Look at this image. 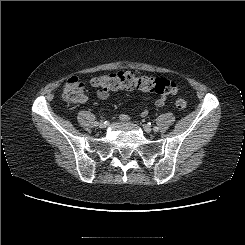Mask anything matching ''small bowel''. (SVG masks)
I'll return each instance as SVG.
<instances>
[{
    "label": "small bowel",
    "instance_id": "obj_1",
    "mask_svg": "<svg viewBox=\"0 0 245 245\" xmlns=\"http://www.w3.org/2000/svg\"><path fill=\"white\" fill-rule=\"evenodd\" d=\"M109 95H110V92H106V91H102V90H98L97 91V97L99 99H101V100L107 99L109 97ZM143 99L144 100H149L150 98L148 96H143ZM85 100H86V98L84 97L82 101H85ZM165 102H166V97L165 96H161V97H159V98H157L155 100V105L157 107H162V106H164ZM147 115H148V108L147 107H143L141 112H140V116L141 117H146ZM120 119L122 121H128L129 120V116L127 114H121L120 115Z\"/></svg>",
    "mask_w": 245,
    "mask_h": 245
}]
</instances>
